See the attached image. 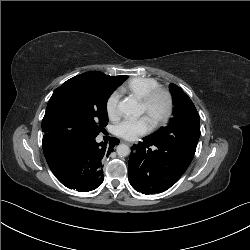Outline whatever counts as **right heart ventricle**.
<instances>
[{"label": "right heart ventricle", "mask_w": 250, "mask_h": 250, "mask_svg": "<svg viewBox=\"0 0 250 250\" xmlns=\"http://www.w3.org/2000/svg\"><path fill=\"white\" fill-rule=\"evenodd\" d=\"M159 87V82L151 77H134L124 84L122 90L142 99L148 92Z\"/></svg>", "instance_id": "obj_1"}]
</instances>
